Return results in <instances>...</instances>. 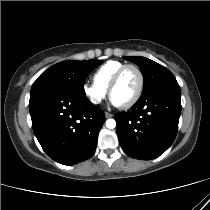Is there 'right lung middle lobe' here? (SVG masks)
Returning a JSON list of instances; mask_svg holds the SVG:
<instances>
[{"instance_id":"right-lung-middle-lobe-1","label":"right lung middle lobe","mask_w":210,"mask_h":210,"mask_svg":"<svg viewBox=\"0 0 210 210\" xmlns=\"http://www.w3.org/2000/svg\"><path fill=\"white\" fill-rule=\"evenodd\" d=\"M99 60L63 61L43 72L33 83L31 94L43 90H65L85 96L84 80Z\"/></svg>"}]
</instances>
